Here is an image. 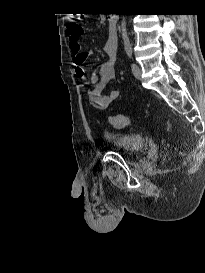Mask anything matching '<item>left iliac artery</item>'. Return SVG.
I'll return each mask as SVG.
<instances>
[{
    "mask_svg": "<svg viewBox=\"0 0 205 273\" xmlns=\"http://www.w3.org/2000/svg\"><path fill=\"white\" fill-rule=\"evenodd\" d=\"M124 46H125V50H126L127 55L131 58L132 57V48H131L130 42L125 41Z\"/></svg>",
    "mask_w": 205,
    "mask_h": 273,
    "instance_id": "obj_1",
    "label": "left iliac artery"
}]
</instances>
